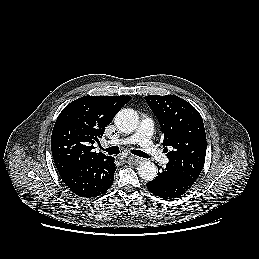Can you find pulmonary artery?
<instances>
[{"mask_svg":"<svg viewBox=\"0 0 259 259\" xmlns=\"http://www.w3.org/2000/svg\"><path fill=\"white\" fill-rule=\"evenodd\" d=\"M153 131V121L150 118L142 120L138 132L130 137L117 139L112 141L114 145L117 146H127L134 144L136 142L140 143L144 152L155 160L160 161L161 163H167V158L164 156L158 147L152 142L151 134Z\"/></svg>","mask_w":259,"mask_h":259,"instance_id":"e3ab8cb5","label":"pulmonary artery"}]
</instances>
